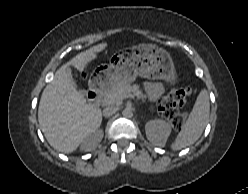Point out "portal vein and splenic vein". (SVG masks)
I'll return each mask as SVG.
<instances>
[{"instance_id":"portal-vein-and-splenic-vein-1","label":"portal vein and splenic vein","mask_w":248,"mask_h":194,"mask_svg":"<svg viewBox=\"0 0 248 194\" xmlns=\"http://www.w3.org/2000/svg\"><path fill=\"white\" fill-rule=\"evenodd\" d=\"M123 97L124 98H126V97H132V95L131 94H125Z\"/></svg>"}]
</instances>
